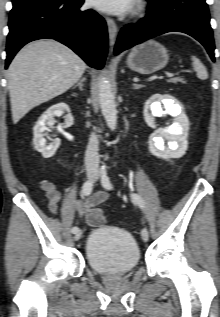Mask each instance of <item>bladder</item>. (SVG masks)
<instances>
[{
    "instance_id": "31cf9c89",
    "label": "bladder",
    "mask_w": 220,
    "mask_h": 317,
    "mask_svg": "<svg viewBox=\"0 0 220 317\" xmlns=\"http://www.w3.org/2000/svg\"><path fill=\"white\" fill-rule=\"evenodd\" d=\"M85 255L89 268L100 274H127L139 265L141 258L133 235L125 229L109 226L90 232Z\"/></svg>"
}]
</instances>
